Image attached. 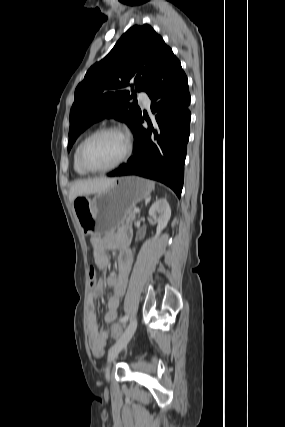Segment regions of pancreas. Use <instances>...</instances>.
<instances>
[{
	"mask_svg": "<svg viewBox=\"0 0 285 427\" xmlns=\"http://www.w3.org/2000/svg\"><path fill=\"white\" fill-rule=\"evenodd\" d=\"M135 215H136V212L133 209L129 210L126 214V217H125L126 222L128 224H132L133 220L135 219Z\"/></svg>",
	"mask_w": 285,
	"mask_h": 427,
	"instance_id": "cf45deb5",
	"label": "pancreas"
}]
</instances>
